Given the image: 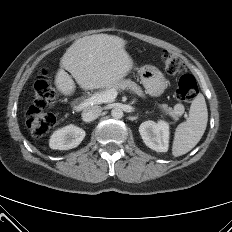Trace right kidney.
<instances>
[{"label": "right kidney", "instance_id": "ca27d5eb", "mask_svg": "<svg viewBox=\"0 0 232 232\" xmlns=\"http://www.w3.org/2000/svg\"><path fill=\"white\" fill-rule=\"evenodd\" d=\"M86 133L82 128L68 125L55 131L49 141L51 149L69 150L77 147L84 139Z\"/></svg>", "mask_w": 232, "mask_h": 232}]
</instances>
